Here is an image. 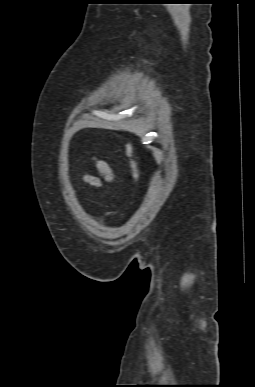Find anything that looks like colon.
<instances>
[{
  "mask_svg": "<svg viewBox=\"0 0 255 387\" xmlns=\"http://www.w3.org/2000/svg\"><path fill=\"white\" fill-rule=\"evenodd\" d=\"M126 156L128 159V166L130 171V176L133 182H136L139 178V169L137 161L134 157V148L131 143H128L126 146Z\"/></svg>",
  "mask_w": 255,
  "mask_h": 387,
  "instance_id": "colon-1",
  "label": "colon"
}]
</instances>
